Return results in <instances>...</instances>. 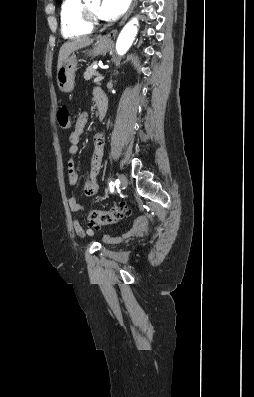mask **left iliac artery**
<instances>
[{
	"instance_id": "left-iliac-artery-1",
	"label": "left iliac artery",
	"mask_w": 254,
	"mask_h": 397,
	"mask_svg": "<svg viewBox=\"0 0 254 397\" xmlns=\"http://www.w3.org/2000/svg\"><path fill=\"white\" fill-rule=\"evenodd\" d=\"M117 183L120 184L119 180H117ZM117 183H116V184H117ZM110 191H111V192L114 191V183H113V182H110Z\"/></svg>"
}]
</instances>
